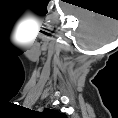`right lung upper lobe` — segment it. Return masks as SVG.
I'll return each mask as SVG.
<instances>
[{
	"label": "right lung upper lobe",
	"mask_w": 118,
	"mask_h": 118,
	"mask_svg": "<svg viewBox=\"0 0 118 118\" xmlns=\"http://www.w3.org/2000/svg\"><path fill=\"white\" fill-rule=\"evenodd\" d=\"M48 111H49L50 113H53V114L57 113V111H55V110H50V109H48Z\"/></svg>",
	"instance_id": "right-lung-upper-lobe-1"
}]
</instances>
